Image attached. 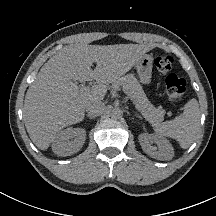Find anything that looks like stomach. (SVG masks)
<instances>
[{"label":"stomach","instance_id":"obj_1","mask_svg":"<svg viewBox=\"0 0 216 216\" xmlns=\"http://www.w3.org/2000/svg\"><path fill=\"white\" fill-rule=\"evenodd\" d=\"M135 66L140 82L149 85L152 81L153 57L149 54H145Z\"/></svg>","mask_w":216,"mask_h":216}]
</instances>
